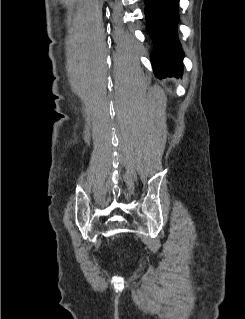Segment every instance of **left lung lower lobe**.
I'll return each instance as SVG.
<instances>
[{
	"instance_id": "obj_1",
	"label": "left lung lower lobe",
	"mask_w": 245,
	"mask_h": 319,
	"mask_svg": "<svg viewBox=\"0 0 245 319\" xmlns=\"http://www.w3.org/2000/svg\"><path fill=\"white\" fill-rule=\"evenodd\" d=\"M179 0H145L147 29L155 40L151 56L157 77L182 75L183 52L177 38Z\"/></svg>"
}]
</instances>
